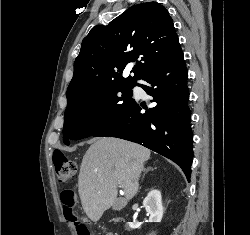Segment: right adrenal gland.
Returning <instances> with one entry per match:
<instances>
[{
	"instance_id": "obj_1",
	"label": "right adrenal gland",
	"mask_w": 250,
	"mask_h": 235,
	"mask_svg": "<svg viewBox=\"0 0 250 235\" xmlns=\"http://www.w3.org/2000/svg\"><path fill=\"white\" fill-rule=\"evenodd\" d=\"M151 170H154L152 167H148L147 169H144V174L142 176V178L144 177V175L148 172V171H151Z\"/></svg>"
}]
</instances>
